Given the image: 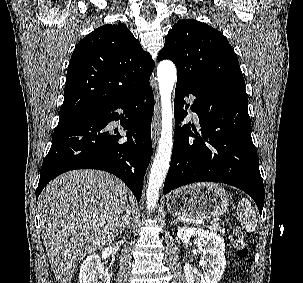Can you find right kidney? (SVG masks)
Segmentation results:
<instances>
[{
  "instance_id": "obj_1",
  "label": "right kidney",
  "mask_w": 303,
  "mask_h": 283,
  "mask_svg": "<svg viewBox=\"0 0 303 283\" xmlns=\"http://www.w3.org/2000/svg\"><path fill=\"white\" fill-rule=\"evenodd\" d=\"M80 283H110V275L104 269L99 255H89L81 264L79 272Z\"/></svg>"
}]
</instances>
